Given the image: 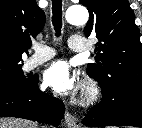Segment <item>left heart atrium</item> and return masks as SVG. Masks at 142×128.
Instances as JSON below:
<instances>
[{
	"label": "left heart atrium",
	"instance_id": "obj_1",
	"mask_svg": "<svg viewBox=\"0 0 142 128\" xmlns=\"http://www.w3.org/2000/svg\"><path fill=\"white\" fill-rule=\"evenodd\" d=\"M44 83L56 92L65 94L75 87V77L66 62L57 61L45 71Z\"/></svg>",
	"mask_w": 142,
	"mask_h": 128
}]
</instances>
